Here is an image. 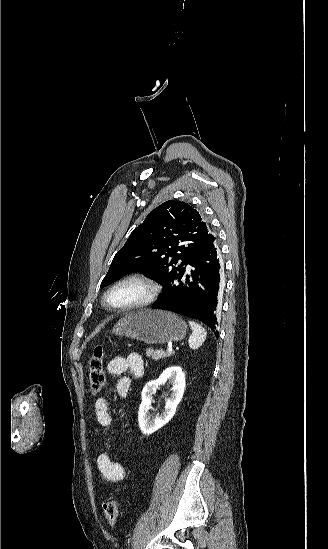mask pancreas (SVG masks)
<instances>
[{"label":"pancreas","mask_w":328,"mask_h":549,"mask_svg":"<svg viewBox=\"0 0 328 549\" xmlns=\"http://www.w3.org/2000/svg\"><path fill=\"white\" fill-rule=\"evenodd\" d=\"M174 353H165L163 349L159 351H154V349H146V357H152L153 361H160V359H165V357H171Z\"/></svg>","instance_id":"cf45deb5"}]
</instances>
